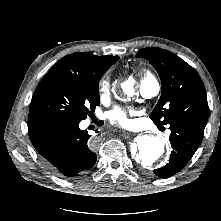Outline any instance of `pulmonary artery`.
Here are the masks:
<instances>
[{
  "label": "pulmonary artery",
  "instance_id": "1",
  "mask_svg": "<svg viewBox=\"0 0 221 221\" xmlns=\"http://www.w3.org/2000/svg\"><path fill=\"white\" fill-rule=\"evenodd\" d=\"M140 90L145 98H152L158 94L160 84L152 75H148L143 80Z\"/></svg>",
  "mask_w": 221,
  "mask_h": 221
}]
</instances>
